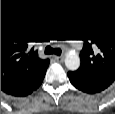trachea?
<instances>
[{"label":"trachea","mask_w":115,"mask_h":114,"mask_svg":"<svg viewBox=\"0 0 115 114\" xmlns=\"http://www.w3.org/2000/svg\"><path fill=\"white\" fill-rule=\"evenodd\" d=\"M45 53L46 54L60 55L61 54V49H53V48L48 46V47L45 48Z\"/></svg>","instance_id":"3493384b"}]
</instances>
